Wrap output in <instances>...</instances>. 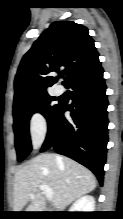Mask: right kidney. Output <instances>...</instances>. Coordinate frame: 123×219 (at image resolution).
<instances>
[{"instance_id":"1","label":"right kidney","mask_w":123,"mask_h":219,"mask_svg":"<svg viewBox=\"0 0 123 219\" xmlns=\"http://www.w3.org/2000/svg\"><path fill=\"white\" fill-rule=\"evenodd\" d=\"M95 199L93 196L86 195L79 198L70 208L69 212H94Z\"/></svg>"}]
</instances>
